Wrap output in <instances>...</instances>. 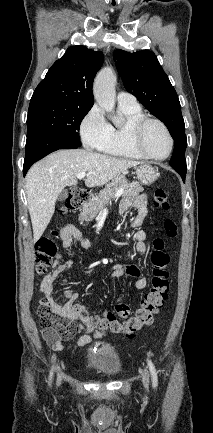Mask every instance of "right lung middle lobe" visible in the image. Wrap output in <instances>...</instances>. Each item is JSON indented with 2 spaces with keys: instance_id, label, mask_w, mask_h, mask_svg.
<instances>
[{
  "instance_id": "1",
  "label": "right lung middle lobe",
  "mask_w": 213,
  "mask_h": 433,
  "mask_svg": "<svg viewBox=\"0 0 213 433\" xmlns=\"http://www.w3.org/2000/svg\"><path fill=\"white\" fill-rule=\"evenodd\" d=\"M91 107L52 99L31 100L27 116V137L47 133L80 146L78 131Z\"/></svg>"
}]
</instances>
